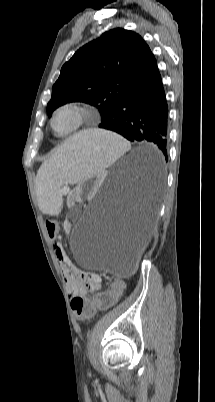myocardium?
Masks as SVG:
<instances>
[{"instance_id":"f54148a6","label":"myocardium","mask_w":215,"mask_h":402,"mask_svg":"<svg viewBox=\"0 0 215 402\" xmlns=\"http://www.w3.org/2000/svg\"><path fill=\"white\" fill-rule=\"evenodd\" d=\"M62 113L71 114L74 117V123L72 127L69 128L67 131L58 132L55 128V121L56 118ZM90 115L91 112L88 107L79 103L68 102L60 105L53 111L49 122L50 128L52 132L58 137H69L84 128L90 118Z\"/></svg>"}]
</instances>
